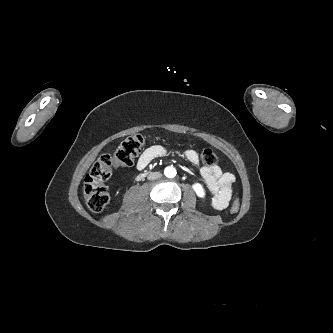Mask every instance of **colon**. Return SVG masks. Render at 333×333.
<instances>
[{
	"label": "colon",
	"instance_id": "obj_1",
	"mask_svg": "<svg viewBox=\"0 0 333 333\" xmlns=\"http://www.w3.org/2000/svg\"><path fill=\"white\" fill-rule=\"evenodd\" d=\"M145 145V137L135 134L124 139L114 153L102 155L95 163L84 180V196L89 209L93 212L102 211L109 202V193L104 182L110 177L114 168L130 166ZM201 161L205 166H213L218 162L217 155L210 149L201 153ZM240 201L235 198L230 212H238Z\"/></svg>",
	"mask_w": 333,
	"mask_h": 333
}]
</instances>
